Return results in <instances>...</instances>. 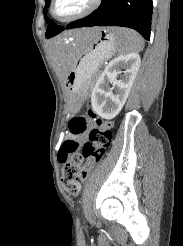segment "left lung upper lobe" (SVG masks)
<instances>
[{"mask_svg": "<svg viewBox=\"0 0 183 246\" xmlns=\"http://www.w3.org/2000/svg\"><path fill=\"white\" fill-rule=\"evenodd\" d=\"M50 5V0H45V7H44V15H45V20L48 23L47 31H46V38H51L60 32L64 30L65 27L59 26L55 24L52 20L48 19L46 14H47V7Z\"/></svg>", "mask_w": 183, "mask_h": 246, "instance_id": "1", "label": "left lung upper lobe"}]
</instances>
